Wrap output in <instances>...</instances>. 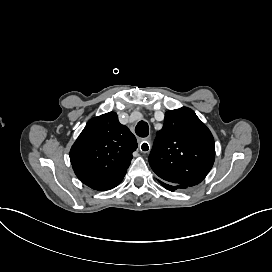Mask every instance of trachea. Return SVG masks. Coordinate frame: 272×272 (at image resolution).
Instances as JSON below:
<instances>
[{
  "label": "trachea",
  "mask_w": 272,
  "mask_h": 272,
  "mask_svg": "<svg viewBox=\"0 0 272 272\" xmlns=\"http://www.w3.org/2000/svg\"><path fill=\"white\" fill-rule=\"evenodd\" d=\"M135 132L139 137H147L149 134L148 124L146 122H140L135 128Z\"/></svg>",
  "instance_id": "1"
}]
</instances>
